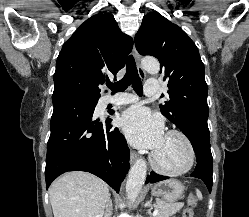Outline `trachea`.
<instances>
[{
    "label": "trachea",
    "instance_id": "obj_1",
    "mask_svg": "<svg viewBox=\"0 0 249 217\" xmlns=\"http://www.w3.org/2000/svg\"><path fill=\"white\" fill-rule=\"evenodd\" d=\"M132 84L134 91L142 96L143 95V86L141 78L139 77L135 60L132 55L128 57L126 65V74L118 82L107 83V86L112 90V93L124 91L128 86Z\"/></svg>",
    "mask_w": 249,
    "mask_h": 217
}]
</instances>
